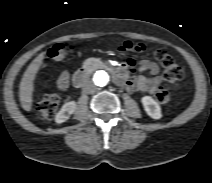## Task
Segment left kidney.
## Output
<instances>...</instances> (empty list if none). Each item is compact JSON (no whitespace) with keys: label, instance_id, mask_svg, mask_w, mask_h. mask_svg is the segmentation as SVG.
Masks as SVG:
<instances>
[{"label":"left kidney","instance_id":"left-kidney-1","mask_svg":"<svg viewBox=\"0 0 212 183\" xmlns=\"http://www.w3.org/2000/svg\"><path fill=\"white\" fill-rule=\"evenodd\" d=\"M144 110L153 119H160L162 117L160 105L151 97L144 96L141 99Z\"/></svg>","mask_w":212,"mask_h":183}]
</instances>
